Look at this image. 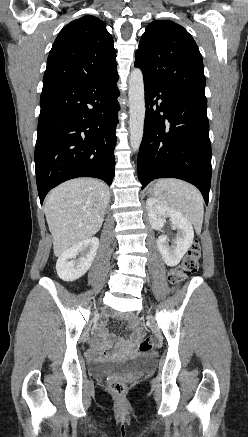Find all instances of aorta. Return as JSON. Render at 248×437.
Listing matches in <instances>:
<instances>
[{
    "instance_id": "1",
    "label": "aorta",
    "mask_w": 248,
    "mask_h": 437,
    "mask_svg": "<svg viewBox=\"0 0 248 437\" xmlns=\"http://www.w3.org/2000/svg\"><path fill=\"white\" fill-rule=\"evenodd\" d=\"M128 96L130 145L137 152L143 138L145 119L144 82L140 69H134L129 76Z\"/></svg>"
}]
</instances>
